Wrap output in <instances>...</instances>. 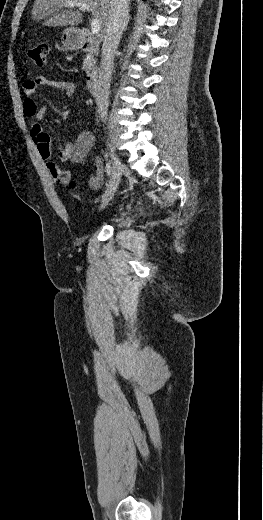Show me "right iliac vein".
<instances>
[{
    "label": "right iliac vein",
    "mask_w": 263,
    "mask_h": 520,
    "mask_svg": "<svg viewBox=\"0 0 263 520\" xmlns=\"http://www.w3.org/2000/svg\"><path fill=\"white\" fill-rule=\"evenodd\" d=\"M111 157L113 160L112 177L109 181L108 189L103 196L100 209L104 208L110 202V200L113 198V196L119 186L121 175L125 170V166L121 162L120 158L112 150H111Z\"/></svg>",
    "instance_id": "1"
}]
</instances>
